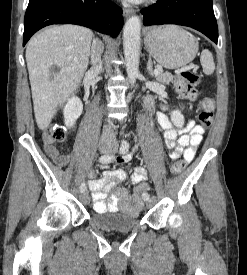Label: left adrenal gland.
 <instances>
[{
	"label": "left adrenal gland",
	"mask_w": 247,
	"mask_h": 275,
	"mask_svg": "<svg viewBox=\"0 0 247 275\" xmlns=\"http://www.w3.org/2000/svg\"><path fill=\"white\" fill-rule=\"evenodd\" d=\"M147 72L151 77H154V72H153V64H152V59L149 57L148 63H147Z\"/></svg>",
	"instance_id": "1"
}]
</instances>
